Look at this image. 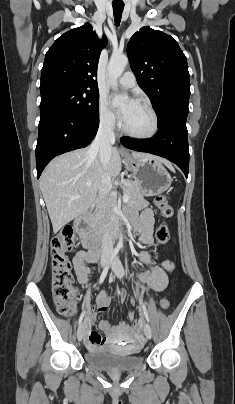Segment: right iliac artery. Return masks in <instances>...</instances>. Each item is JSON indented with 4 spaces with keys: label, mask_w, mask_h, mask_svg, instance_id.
Listing matches in <instances>:
<instances>
[{
    "label": "right iliac artery",
    "mask_w": 235,
    "mask_h": 404,
    "mask_svg": "<svg viewBox=\"0 0 235 404\" xmlns=\"http://www.w3.org/2000/svg\"><path fill=\"white\" fill-rule=\"evenodd\" d=\"M118 252H119V247H116V248L114 249V251L112 252V255H111V257H110V259H109L107 265H106L105 268L103 269V272H102V274H101V276H100V279H99V283H100V284L104 281V279H105V277H106V275H107V273H108L110 264L112 263V261L114 260V258H115L116 255L118 254ZM83 318H84V311L82 312V314H81V316H80V318H79V325L81 324Z\"/></svg>",
    "instance_id": "right-iliac-artery-1"
}]
</instances>
